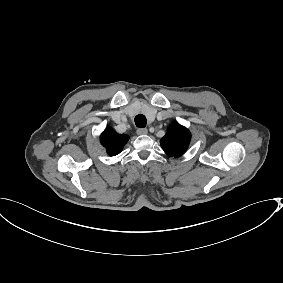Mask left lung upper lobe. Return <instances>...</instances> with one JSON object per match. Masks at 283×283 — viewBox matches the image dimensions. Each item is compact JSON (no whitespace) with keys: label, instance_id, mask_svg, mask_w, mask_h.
Segmentation results:
<instances>
[{"label":"left lung upper lobe","instance_id":"5c2ea615","mask_svg":"<svg viewBox=\"0 0 283 283\" xmlns=\"http://www.w3.org/2000/svg\"><path fill=\"white\" fill-rule=\"evenodd\" d=\"M190 139L189 130L174 122L169 126L167 134L161 139L160 144L167 155L179 157L187 150Z\"/></svg>","mask_w":283,"mask_h":283}]
</instances>
